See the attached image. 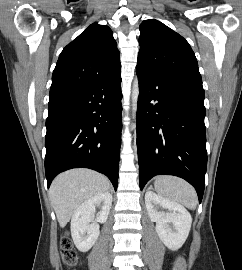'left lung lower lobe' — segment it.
<instances>
[{
    "label": "left lung lower lobe",
    "mask_w": 242,
    "mask_h": 270,
    "mask_svg": "<svg viewBox=\"0 0 242 270\" xmlns=\"http://www.w3.org/2000/svg\"><path fill=\"white\" fill-rule=\"evenodd\" d=\"M136 72L140 189L155 175H175L194 186L201 202L207 167L204 93Z\"/></svg>",
    "instance_id": "0a47b994"
}]
</instances>
